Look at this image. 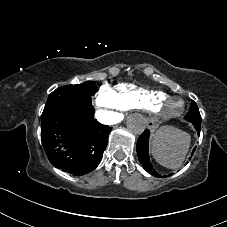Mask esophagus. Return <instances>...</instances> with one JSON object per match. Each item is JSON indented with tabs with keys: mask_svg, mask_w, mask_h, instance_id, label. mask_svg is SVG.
<instances>
[{
	"mask_svg": "<svg viewBox=\"0 0 227 227\" xmlns=\"http://www.w3.org/2000/svg\"><path fill=\"white\" fill-rule=\"evenodd\" d=\"M144 125L146 126L147 129L152 130L155 128L156 123L153 117L148 116L144 120Z\"/></svg>",
	"mask_w": 227,
	"mask_h": 227,
	"instance_id": "esophagus-1",
	"label": "esophagus"
}]
</instances>
